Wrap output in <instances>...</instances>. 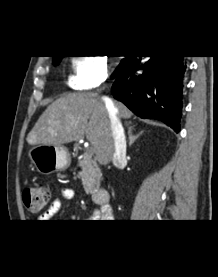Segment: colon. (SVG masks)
<instances>
[{
  "label": "colon",
  "mask_w": 218,
  "mask_h": 277,
  "mask_svg": "<svg viewBox=\"0 0 218 277\" xmlns=\"http://www.w3.org/2000/svg\"><path fill=\"white\" fill-rule=\"evenodd\" d=\"M50 200V190L45 186H33L23 192L25 207L32 213L42 211Z\"/></svg>",
  "instance_id": "obj_1"
}]
</instances>
